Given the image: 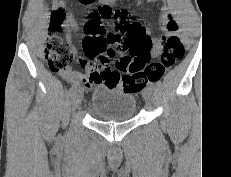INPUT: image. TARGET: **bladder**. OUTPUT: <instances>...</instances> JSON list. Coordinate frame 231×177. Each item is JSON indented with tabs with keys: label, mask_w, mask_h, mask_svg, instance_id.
Wrapping results in <instances>:
<instances>
[{
	"label": "bladder",
	"mask_w": 231,
	"mask_h": 177,
	"mask_svg": "<svg viewBox=\"0 0 231 177\" xmlns=\"http://www.w3.org/2000/svg\"><path fill=\"white\" fill-rule=\"evenodd\" d=\"M93 114L104 121H126L136 114L137 101L134 95L111 86H98L91 95Z\"/></svg>",
	"instance_id": "31cf9c89"
}]
</instances>
